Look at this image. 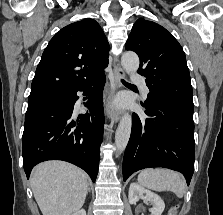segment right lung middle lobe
<instances>
[{
  "label": "right lung middle lobe",
  "instance_id": "dd1d6c3e",
  "mask_svg": "<svg viewBox=\"0 0 223 215\" xmlns=\"http://www.w3.org/2000/svg\"><path fill=\"white\" fill-rule=\"evenodd\" d=\"M69 93H43V94H33L28 97V108L52 103L57 100L69 97Z\"/></svg>",
  "mask_w": 223,
  "mask_h": 215
}]
</instances>
